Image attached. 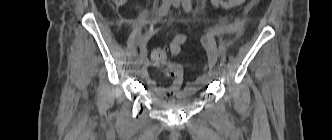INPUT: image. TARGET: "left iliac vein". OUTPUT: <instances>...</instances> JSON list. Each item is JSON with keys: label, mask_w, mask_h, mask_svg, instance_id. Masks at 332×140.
I'll return each instance as SVG.
<instances>
[{"label": "left iliac vein", "mask_w": 332, "mask_h": 140, "mask_svg": "<svg viewBox=\"0 0 332 140\" xmlns=\"http://www.w3.org/2000/svg\"><path fill=\"white\" fill-rule=\"evenodd\" d=\"M173 6L174 7H179L180 5V0H172ZM213 75L217 77L219 75V72L217 70H214Z\"/></svg>", "instance_id": "left-iliac-vein-1"}]
</instances>
